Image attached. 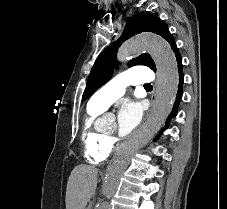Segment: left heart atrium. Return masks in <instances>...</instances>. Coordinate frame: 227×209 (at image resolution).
Returning a JSON list of instances; mask_svg holds the SVG:
<instances>
[{
	"label": "left heart atrium",
	"mask_w": 227,
	"mask_h": 209,
	"mask_svg": "<svg viewBox=\"0 0 227 209\" xmlns=\"http://www.w3.org/2000/svg\"><path fill=\"white\" fill-rule=\"evenodd\" d=\"M143 114L142 105L134 100L121 103L118 112L119 130L122 135L130 134L140 123Z\"/></svg>",
	"instance_id": "1"
}]
</instances>
